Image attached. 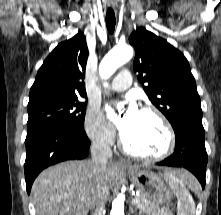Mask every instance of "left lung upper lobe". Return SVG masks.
<instances>
[{
	"instance_id": "obj_1",
	"label": "left lung upper lobe",
	"mask_w": 221,
	"mask_h": 215,
	"mask_svg": "<svg viewBox=\"0 0 221 215\" xmlns=\"http://www.w3.org/2000/svg\"><path fill=\"white\" fill-rule=\"evenodd\" d=\"M136 55L133 69L150 101L173 129L183 119L202 121L200 97L185 56L166 40L139 28L129 37Z\"/></svg>"
}]
</instances>
